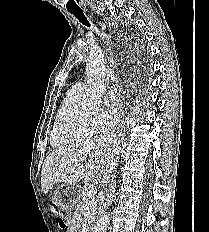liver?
<instances>
[{"instance_id": "1", "label": "liver", "mask_w": 209, "mask_h": 232, "mask_svg": "<svg viewBox=\"0 0 209 232\" xmlns=\"http://www.w3.org/2000/svg\"><path fill=\"white\" fill-rule=\"evenodd\" d=\"M117 154V142L108 143L104 137L78 142L50 153L41 171L43 193L46 194L55 183L75 185L82 178L85 183H100L107 166L115 163Z\"/></svg>"}]
</instances>
